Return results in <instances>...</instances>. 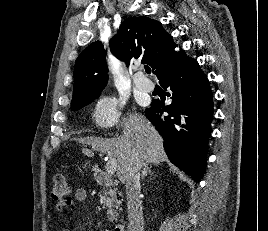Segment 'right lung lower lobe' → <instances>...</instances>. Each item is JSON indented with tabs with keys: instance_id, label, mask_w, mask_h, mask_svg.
Wrapping results in <instances>:
<instances>
[{
	"instance_id": "right-lung-lower-lobe-1",
	"label": "right lung lower lobe",
	"mask_w": 268,
	"mask_h": 231,
	"mask_svg": "<svg viewBox=\"0 0 268 231\" xmlns=\"http://www.w3.org/2000/svg\"><path fill=\"white\" fill-rule=\"evenodd\" d=\"M159 83L170 90L172 102L165 106L164 100H153L146 116L163 137L170 161L198 183L207 160L213 117L208 79L191 58L164 73Z\"/></svg>"
}]
</instances>
